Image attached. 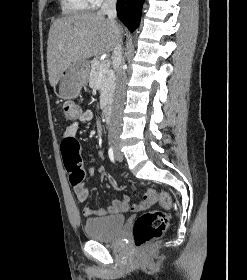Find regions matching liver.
Wrapping results in <instances>:
<instances>
[{"instance_id":"obj_1","label":"liver","mask_w":247,"mask_h":280,"mask_svg":"<svg viewBox=\"0 0 247 280\" xmlns=\"http://www.w3.org/2000/svg\"><path fill=\"white\" fill-rule=\"evenodd\" d=\"M120 35L122 27L117 24ZM118 42L109 19L100 13H83L56 19L49 30L47 67L54 87L72 62L87 60L114 50Z\"/></svg>"}]
</instances>
